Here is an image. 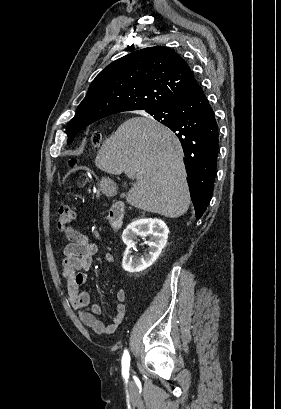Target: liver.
<instances>
[{
	"label": "liver",
	"mask_w": 281,
	"mask_h": 409,
	"mask_svg": "<svg viewBox=\"0 0 281 409\" xmlns=\"http://www.w3.org/2000/svg\"><path fill=\"white\" fill-rule=\"evenodd\" d=\"M95 164L110 174L135 180L128 205L170 219L189 209V186L181 144L174 132L149 116H134L103 142Z\"/></svg>",
	"instance_id": "liver-1"
}]
</instances>
